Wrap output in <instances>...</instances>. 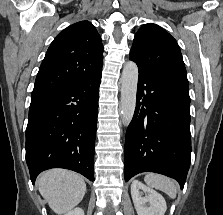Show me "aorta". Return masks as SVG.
<instances>
[{
  "label": "aorta",
  "instance_id": "1",
  "mask_svg": "<svg viewBox=\"0 0 223 215\" xmlns=\"http://www.w3.org/2000/svg\"><path fill=\"white\" fill-rule=\"evenodd\" d=\"M138 68L134 62H126L122 72L121 113L123 125H129L136 106Z\"/></svg>",
  "mask_w": 223,
  "mask_h": 215
}]
</instances>
